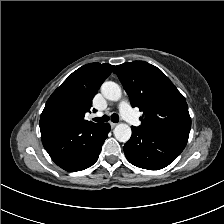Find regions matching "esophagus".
I'll list each match as a JSON object with an SVG mask.
<instances>
[{"mask_svg": "<svg viewBox=\"0 0 224 224\" xmlns=\"http://www.w3.org/2000/svg\"><path fill=\"white\" fill-rule=\"evenodd\" d=\"M116 125H117V123L110 122V126H111L112 128H114Z\"/></svg>", "mask_w": 224, "mask_h": 224, "instance_id": "1", "label": "esophagus"}]
</instances>
